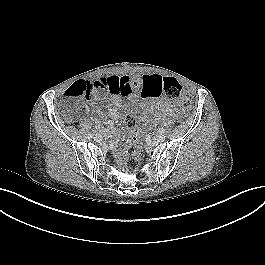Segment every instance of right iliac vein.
Wrapping results in <instances>:
<instances>
[{
    "label": "right iliac vein",
    "mask_w": 265,
    "mask_h": 265,
    "mask_svg": "<svg viewBox=\"0 0 265 265\" xmlns=\"http://www.w3.org/2000/svg\"><path fill=\"white\" fill-rule=\"evenodd\" d=\"M94 139L97 141V142H100L102 140V137L101 135L97 134Z\"/></svg>",
    "instance_id": "obj_1"
}]
</instances>
